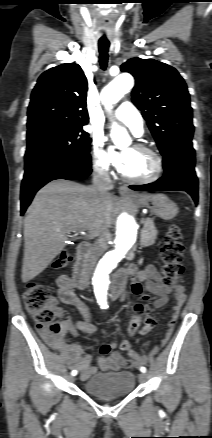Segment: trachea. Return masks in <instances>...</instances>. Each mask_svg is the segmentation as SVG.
Segmentation results:
<instances>
[{
    "label": "trachea",
    "instance_id": "obj_1",
    "mask_svg": "<svg viewBox=\"0 0 212 438\" xmlns=\"http://www.w3.org/2000/svg\"><path fill=\"white\" fill-rule=\"evenodd\" d=\"M109 46H110L109 43H102V42L98 43L99 61L102 70H106L107 68Z\"/></svg>",
    "mask_w": 212,
    "mask_h": 438
}]
</instances>
